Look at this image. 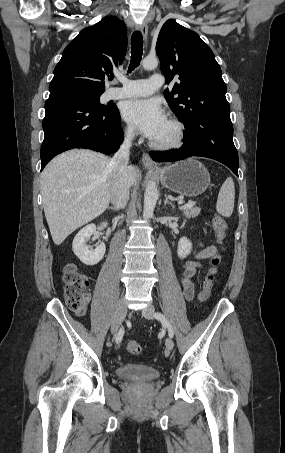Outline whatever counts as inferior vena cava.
I'll list each match as a JSON object with an SVG mask.
<instances>
[{"instance_id": "inferior-vena-cava-1", "label": "inferior vena cava", "mask_w": 285, "mask_h": 453, "mask_svg": "<svg viewBox=\"0 0 285 453\" xmlns=\"http://www.w3.org/2000/svg\"><path fill=\"white\" fill-rule=\"evenodd\" d=\"M133 138V130L128 129L122 145L109 163V166L113 170L111 180V203L117 210L124 208L129 200V188L131 183L128 176V162Z\"/></svg>"}]
</instances>
